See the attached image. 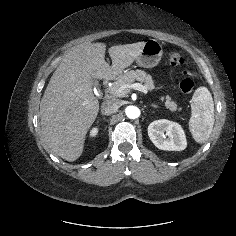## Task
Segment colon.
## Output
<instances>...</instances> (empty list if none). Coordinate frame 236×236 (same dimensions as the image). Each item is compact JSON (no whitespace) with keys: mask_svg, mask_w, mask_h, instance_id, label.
<instances>
[{"mask_svg":"<svg viewBox=\"0 0 236 236\" xmlns=\"http://www.w3.org/2000/svg\"><path fill=\"white\" fill-rule=\"evenodd\" d=\"M169 62L173 66H182L185 63L183 55L178 51H171L169 53ZM181 79L179 81V89L184 94H189L194 88V82L190 77L187 69L183 68L180 72Z\"/></svg>","mask_w":236,"mask_h":236,"instance_id":"1","label":"colon"}]
</instances>
